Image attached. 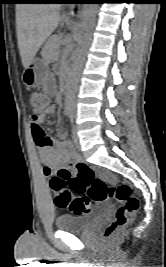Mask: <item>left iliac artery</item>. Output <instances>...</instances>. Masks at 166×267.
<instances>
[{"label": "left iliac artery", "instance_id": "1", "mask_svg": "<svg viewBox=\"0 0 166 267\" xmlns=\"http://www.w3.org/2000/svg\"><path fill=\"white\" fill-rule=\"evenodd\" d=\"M70 120L73 122V114H70Z\"/></svg>", "mask_w": 166, "mask_h": 267}]
</instances>
